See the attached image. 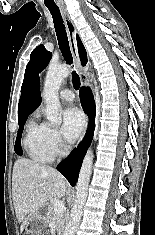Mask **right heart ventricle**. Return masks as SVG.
Returning <instances> with one entry per match:
<instances>
[{
	"label": "right heart ventricle",
	"instance_id": "right-heart-ventricle-1",
	"mask_svg": "<svg viewBox=\"0 0 155 235\" xmlns=\"http://www.w3.org/2000/svg\"><path fill=\"white\" fill-rule=\"evenodd\" d=\"M24 146L29 157L41 163H48L54 157L53 151L46 142L45 126L31 120L27 127Z\"/></svg>",
	"mask_w": 155,
	"mask_h": 235
}]
</instances>
